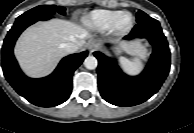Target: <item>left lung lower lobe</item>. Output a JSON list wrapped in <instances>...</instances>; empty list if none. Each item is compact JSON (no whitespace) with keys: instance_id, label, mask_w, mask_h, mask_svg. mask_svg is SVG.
I'll use <instances>...</instances> for the list:
<instances>
[{"instance_id":"0a47b994","label":"left lung lower lobe","mask_w":194,"mask_h":133,"mask_svg":"<svg viewBox=\"0 0 194 133\" xmlns=\"http://www.w3.org/2000/svg\"><path fill=\"white\" fill-rule=\"evenodd\" d=\"M147 38L153 53L145 70L135 77L124 74L117 63L100 52L98 59V88L107 102L116 106H134L145 102L161 87L170 69V50L159 22L151 17L138 22L125 39Z\"/></svg>"}]
</instances>
